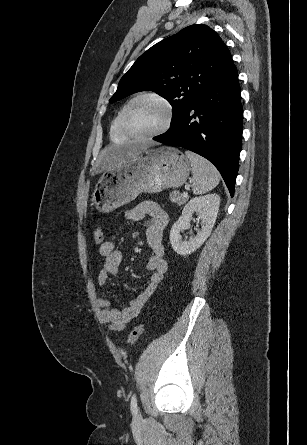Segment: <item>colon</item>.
<instances>
[{"label":"colon","mask_w":307,"mask_h":445,"mask_svg":"<svg viewBox=\"0 0 307 445\" xmlns=\"http://www.w3.org/2000/svg\"><path fill=\"white\" fill-rule=\"evenodd\" d=\"M94 242L97 245H102L104 242V230L101 226H97L94 230ZM144 325L142 323H139L136 325L133 330L128 335L127 344L129 346H133L136 341L139 339L141 334L143 333Z\"/></svg>","instance_id":"colon-1"}]
</instances>
